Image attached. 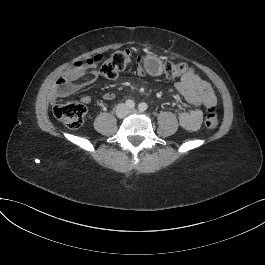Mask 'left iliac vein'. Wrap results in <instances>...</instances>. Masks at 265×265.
<instances>
[{"label":"left iliac vein","instance_id":"1","mask_svg":"<svg viewBox=\"0 0 265 265\" xmlns=\"http://www.w3.org/2000/svg\"><path fill=\"white\" fill-rule=\"evenodd\" d=\"M130 112L135 113V112H137V111H136V110H130Z\"/></svg>","mask_w":265,"mask_h":265}]
</instances>
